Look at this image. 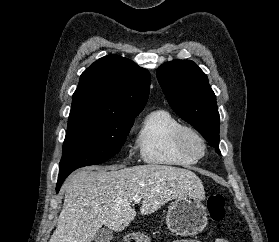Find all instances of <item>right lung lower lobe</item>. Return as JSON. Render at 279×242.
Listing matches in <instances>:
<instances>
[{"label": "right lung lower lobe", "instance_id": "98d812e1", "mask_svg": "<svg viewBox=\"0 0 279 242\" xmlns=\"http://www.w3.org/2000/svg\"><path fill=\"white\" fill-rule=\"evenodd\" d=\"M64 179H65V178L58 180V183H57V185H56V192L59 191V189H60V187H61V185H62Z\"/></svg>", "mask_w": 279, "mask_h": 242}]
</instances>
